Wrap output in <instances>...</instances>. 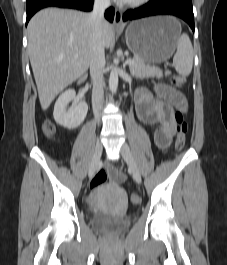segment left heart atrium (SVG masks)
I'll list each match as a JSON object with an SVG mask.
<instances>
[{
  "mask_svg": "<svg viewBox=\"0 0 227 265\" xmlns=\"http://www.w3.org/2000/svg\"><path fill=\"white\" fill-rule=\"evenodd\" d=\"M117 1H120V2H126V1H128V0H117Z\"/></svg>",
  "mask_w": 227,
  "mask_h": 265,
  "instance_id": "left-heart-atrium-1",
  "label": "left heart atrium"
}]
</instances>
